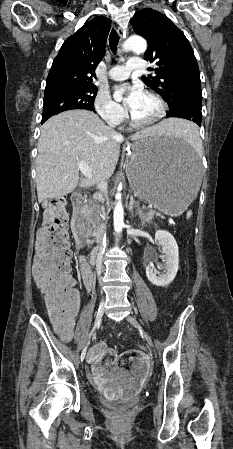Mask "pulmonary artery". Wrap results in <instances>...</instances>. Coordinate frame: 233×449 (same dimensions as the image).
Wrapping results in <instances>:
<instances>
[{
  "instance_id": "e3ab8cb5",
  "label": "pulmonary artery",
  "mask_w": 233,
  "mask_h": 449,
  "mask_svg": "<svg viewBox=\"0 0 233 449\" xmlns=\"http://www.w3.org/2000/svg\"><path fill=\"white\" fill-rule=\"evenodd\" d=\"M144 69V64L140 58H131L125 65H116L109 71L112 80L121 81L129 77L133 71Z\"/></svg>"
}]
</instances>
